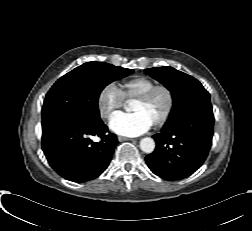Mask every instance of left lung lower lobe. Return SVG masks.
I'll list each match as a JSON object with an SVG mask.
<instances>
[{
	"label": "left lung lower lobe",
	"mask_w": 252,
	"mask_h": 231,
	"mask_svg": "<svg viewBox=\"0 0 252 231\" xmlns=\"http://www.w3.org/2000/svg\"><path fill=\"white\" fill-rule=\"evenodd\" d=\"M212 108H193L168 121L153 136L156 149L146 156L150 170L166 180L194 173L205 161L212 143Z\"/></svg>",
	"instance_id": "0a47b994"
}]
</instances>
